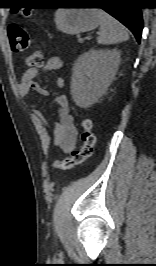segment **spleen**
Wrapping results in <instances>:
<instances>
[{"label": "spleen", "mask_w": 156, "mask_h": 266, "mask_svg": "<svg viewBox=\"0 0 156 266\" xmlns=\"http://www.w3.org/2000/svg\"><path fill=\"white\" fill-rule=\"evenodd\" d=\"M100 32L97 43L102 45L117 44L129 39L125 27L105 11L98 9Z\"/></svg>", "instance_id": "3e777b00"}]
</instances>
